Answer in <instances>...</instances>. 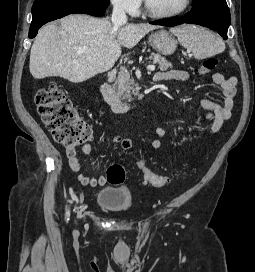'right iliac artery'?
<instances>
[{
  "label": "right iliac artery",
  "instance_id": "right-iliac-artery-1",
  "mask_svg": "<svg viewBox=\"0 0 255 272\" xmlns=\"http://www.w3.org/2000/svg\"><path fill=\"white\" fill-rule=\"evenodd\" d=\"M66 218H67V220L69 219V211L66 214Z\"/></svg>",
  "mask_w": 255,
  "mask_h": 272
}]
</instances>
